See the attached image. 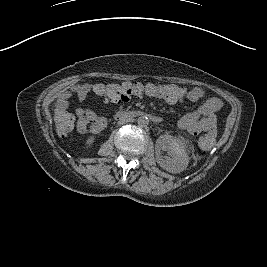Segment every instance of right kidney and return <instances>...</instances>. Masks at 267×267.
<instances>
[{
	"instance_id": "1",
	"label": "right kidney",
	"mask_w": 267,
	"mask_h": 267,
	"mask_svg": "<svg viewBox=\"0 0 267 267\" xmlns=\"http://www.w3.org/2000/svg\"><path fill=\"white\" fill-rule=\"evenodd\" d=\"M95 142V137L94 136H89L86 140V147H91L93 145V143Z\"/></svg>"
}]
</instances>
